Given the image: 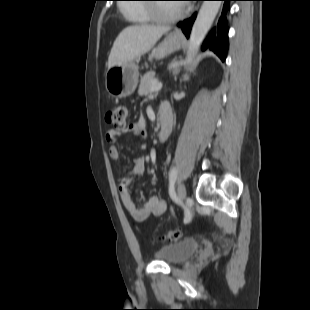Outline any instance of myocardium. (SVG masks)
<instances>
[{"mask_svg":"<svg viewBox=\"0 0 310 310\" xmlns=\"http://www.w3.org/2000/svg\"><path fill=\"white\" fill-rule=\"evenodd\" d=\"M149 12L152 19L158 22H170L179 19L185 14L184 10H179L173 13H163L159 5L150 6Z\"/></svg>","mask_w":310,"mask_h":310,"instance_id":"obj_1","label":"myocardium"}]
</instances>
